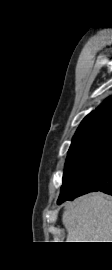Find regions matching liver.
Wrapping results in <instances>:
<instances>
[{"label": "liver", "instance_id": "liver-1", "mask_svg": "<svg viewBox=\"0 0 112 270\" xmlns=\"http://www.w3.org/2000/svg\"><path fill=\"white\" fill-rule=\"evenodd\" d=\"M67 242H112V198L85 195L63 213Z\"/></svg>", "mask_w": 112, "mask_h": 270}]
</instances>
